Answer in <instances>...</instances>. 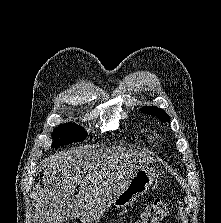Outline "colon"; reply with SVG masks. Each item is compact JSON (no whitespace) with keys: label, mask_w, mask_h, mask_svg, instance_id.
Here are the masks:
<instances>
[{"label":"colon","mask_w":221,"mask_h":223,"mask_svg":"<svg viewBox=\"0 0 221 223\" xmlns=\"http://www.w3.org/2000/svg\"><path fill=\"white\" fill-rule=\"evenodd\" d=\"M168 212V201L166 199H155L146 206L134 223H160Z\"/></svg>","instance_id":"5ec220e1"}]
</instances>
